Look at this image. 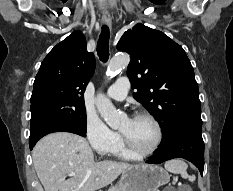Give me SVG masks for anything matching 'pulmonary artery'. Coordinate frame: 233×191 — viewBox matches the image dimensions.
<instances>
[{"label":"pulmonary artery","instance_id":"e3ab8cb5","mask_svg":"<svg viewBox=\"0 0 233 191\" xmlns=\"http://www.w3.org/2000/svg\"><path fill=\"white\" fill-rule=\"evenodd\" d=\"M130 83L127 77L119 78L107 91V97L115 101H123L129 91Z\"/></svg>","mask_w":233,"mask_h":191}]
</instances>
